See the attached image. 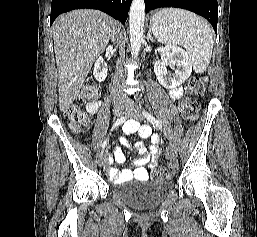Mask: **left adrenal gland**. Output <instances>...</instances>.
Returning <instances> with one entry per match:
<instances>
[{
  "instance_id": "1",
  "label": "left adrenal gland",
  "mask_w": 257,
  "mask_h": 237,
  "mask_svg": "<svg viewBox=\"0 0 257 237\" xmlns=\"http://www.w3.org/2000/svg\"><path fill=\"white\" fill-rule=\"evenodd\" d=\"M147 36H148V40H150L151 42H154V38L152 36L151 29H149Z\"/></svg>"
}]
</instances>
